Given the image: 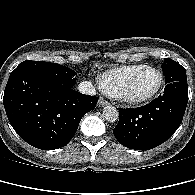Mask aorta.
<instances>
[{
	"mask_svg": "<svg viewBox=\"0 0 195 195\" xmlns=\"http://www.w3.org/2000/svg\"><path fill=\"white\" fill-rule=\"evenodd\" d=\"M103 117L108 122H116L119 119V112L114 106H105L103 109Z\"/></svg>",
	"mask_w": 195,
	"mask_h": 195,
	"instance_id": "1",
	"label": "aorta"
}]
</instances>
